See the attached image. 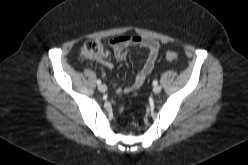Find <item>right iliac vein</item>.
<instances>
[{
    "label": "right iliac vein",
    "instance_id": "63e3f726",
    "mask_svg": "<svg viewBox=\"0 0 248 165\" xmlns=\"http://www.w3.org/2000/svg\"><path fill=\"white\" fill-rule=\"evenodd\" d=\"M106 89H107V87H106V85H104V84H100V85L98 86V90H99L100 92H105Z\"/></svg>",
    "mask_w": 248,
    "mask_h": 165
}]
</instances>
